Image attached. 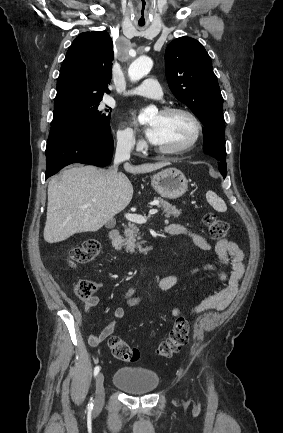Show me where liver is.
I'll use <instances>...</instances> for the list:
<instances>
[{
	"label": "liver",
	"mask_w": 283,
	"mask_h": 433,
	"mask_svg": "<svg viewBox=\"0 0 283 433\" xmlns=\"http://www.w3.org/2000/svg\"><path fill=\"white\" fill-rule=\"evenodd\" d=\"M170 162L138 164L124 162L127 172H151ZM133 186L124 172L103 170L97 166H73L63 170L61 178L48 184L47 221L44 239L59 243L75 233H96L115 214L128 206Z\"/></svg>",
	"instance_id": "6515ba94"
}]
</instances>
